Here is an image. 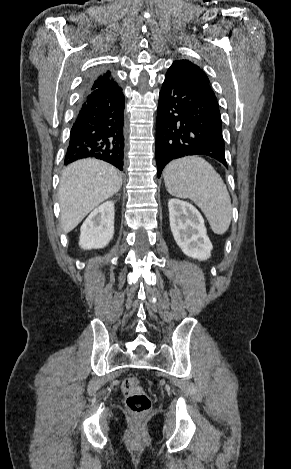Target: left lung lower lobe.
<instances>
[{
  "label": "left lung lower lobe",
  "instance_id": "obj_1",
  "mask_svg": "<svg viewBox=\"0 0 291 469\" xmlns=\"http://www.w3.org/2000/svg\"><path fill=\"white\" fill-rule=\"evenodd\" d=\"M189 155H206L227 167L219 105L212 94L167 72L157 111V176L171 160Z\"/></svg>",
  "mask_w": 291,
  "mask_h": 469
}]
</instances>
